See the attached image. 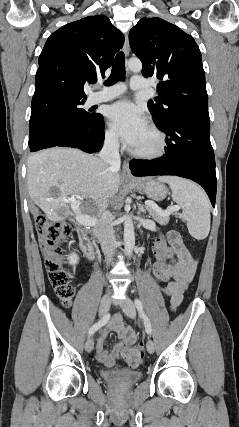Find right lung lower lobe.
I'll return each mask as SVG.
<instances>
[{
	"instance_id": "right-lung-lower-lobe-1",
	"label": "right lung lower lobe",
	"mask_w": 239,
	"mask_h": 427,
	"mask_svg": "<svg viewBox=\"0 0 239 427\" xmlns=\"http://www.w3.org/2000/svg\"><path fill=\"white\" fill-rule=\"evenodd\" d=\"M104 140V118H96L85 126L75 124L71 118H60L46 126L29 145L31 152L54 146L79 148L87 153L99 151Z\"/></svg>"
}]
</instances>
